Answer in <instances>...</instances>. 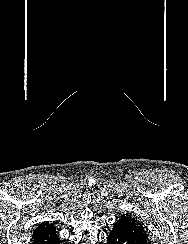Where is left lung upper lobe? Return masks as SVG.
Returning a JSON list of instances; mask_svg holds the SVG:
<instances>
[{"mask_svg": "<svg viewBox=\"0 0 188 244\" xmlns=\"http://www.w3.org/2000/svg\"><path fill=\"white\" fill-rule=\"evenodd\" d=\"M134 220H135V219H134ZM135 221L139 223V225L144 229L145 232H147V231H146V228L143 226V224H141V223H140L139 221H137V220H135Z\"/></svg>", "mask_w": 188, "mask_h": 244, "instance_id": "left-lung-upper-lobe-1", "label": "left lung upper lobe"}]
</instances>
